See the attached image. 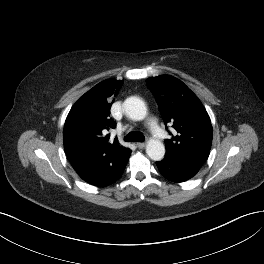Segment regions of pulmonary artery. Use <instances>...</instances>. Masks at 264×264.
<instances>
[{
    "instance_id": "pulmonary-artery-1",
    "label": "pulmonary artery",
    "mask_w": 264,
    "mask_h": 264,
    "mask_svg": "<svg viewBox=\"0 0 264 264\" xmlns=\"http://www.w3.org/2000/svg\"><path fill=\"white\" fill-rule=\"evenodd\" d=\"M149 127H150L151 132H152L155 136L160 135L161 130H160V128H159V126H158V123H157V121H156L155 119H151V120L149 121Z\"/></svg>"
}]
</instances>
